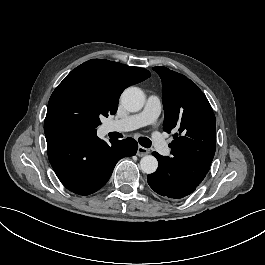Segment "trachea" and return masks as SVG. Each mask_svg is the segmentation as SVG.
Masks as SVG:
<instances>
[{"mask_svg":"<svg viewBox=\"0 0 265 265\" xmlns=\"http://www.w3.org/2000/svg\"><path fill=\"white\" fill-rule=\"evenodd\" d=\"M138 141L143 147L149 148L151 146V141L147 137H139Z\"/></svg>","mask_w":265,"mask_h":265,"instance_id":"1","label":"trachea"}]
</instances>
